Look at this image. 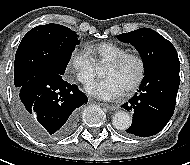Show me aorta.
I'll return each instance as SVG.
<instances>
[{"label":"aorta","instance_id":"762f6f07","mask_svg":"<svg viewBox=\"0 0 190 165\" xmlns=\"http://www.w3.org/2000/svg\"><path fill=\"white\" fill-rule=\"evenodd\" d=\"M132 119L125 111H118L112 118L113 126L118 130H126L131 126Z\"/></svg>","mask_w":190,"mask_h":165}]
</instances>
